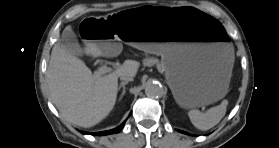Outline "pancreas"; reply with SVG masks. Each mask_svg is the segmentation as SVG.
I'll list each match as a JSON object with an SVG mask.
<instances>
[{"label":"pancreas","mask_w":279,"mask_h":148,"mask_svg":"<svg viewBox=\"0 0 279 148\" xmlns=\"http://www.w3.org/2000/svg\"><path fill=\"white\" fill-rule=\"evenodd\" d=\"M144 65L146 66H153L156 65L159 71H164V66L162 63L159 62L156 58H146L144 60Z\"/></svg>","instance_id":"pancreas-1"}]
</instances>
